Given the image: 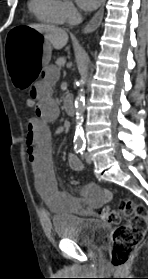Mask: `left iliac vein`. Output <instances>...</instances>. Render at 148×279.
Returning <instances> with one entry per match:
<instances>
[{
    "label": "left iliac vein",
    "instance_id": "4c4485c4",
    "mask_svg": "<svg viewBox=\"0 0 148 279\" xmlns=\"http://www.w3.org/2000/svg\"><path fill=\"white\" fill-rule=\"evenodd\" d=\"M84 156H85L86 162H87L88 164H91V163H92V157H91V155H90L89 153H85Z\"/></svg>",
    "mask_w": 148,
    "mask_h": 279
}]
</instances>
